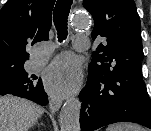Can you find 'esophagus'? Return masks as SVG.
Segmentation results:
<instances>
[{"mask_svg": "<svg viewBox=\"0 0 151 131\" xmlns=\"http://www.w3.org/2000/svg\"><path fill=\"white\" fill-rule=\"evenodd\" d=\"M62 105V99L59 97H53L50 99L49 106L51 111H58Z\"/></svg>", "mask_w": 151, "mask_h": 131, "instance_id": "obj_1", "label": "esophagus"}]
</instances>
